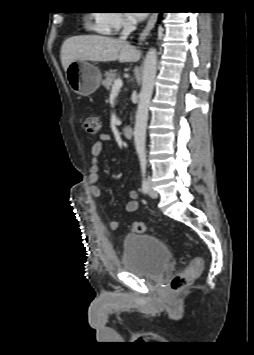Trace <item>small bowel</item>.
I'll list each match as a JSON object with an SVG mask.
<instances>
[{
    "mask_svg": "<svg viewBox=\"0 0 254 355\" xmlns=\"http://www.w3.org/2000/svg\"><path fill=\"white\" fill-rule=\"evenodd\" d=\"M111 137L109 134L102 133L98 136L97 140L91 146V167L89 170V182H90V192L91 194L99 198L102 195L101 188L97 185L99 180V167L98 160L99 156L103 152L104 145L110 142ZM129 200L126 203L125 209L127 212H135L139 207V195L136 190L131 189L128 192ZM109 227L112 230H118L120 227V223L117 220H111L109 222Z\"/></svg>",
    "mask_w": 254,
    "mask_h": 355,
    "instance_id": "small-bowel-1",
    "label": "small bowel"
}]
</instances>
